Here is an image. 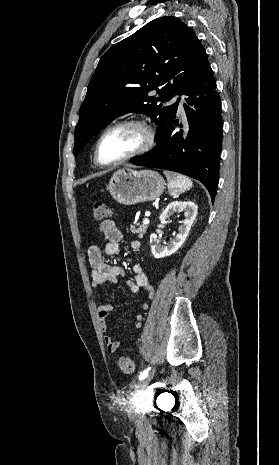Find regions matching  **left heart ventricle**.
Wrapping results in <instances>:
<instances>
[{
  "label": "left heart ventricle",
  "mask_w": 279,
  "mask_h": 465,
  "mask_svg": "<svg viewBox=\"0 0 279 465\" xmlns=\"http://www.w3.org/2000/svg\"><path fill=\"white\" fill-rule=\"evenodd\" d=\"M144 141L139 127L127 126L109 132L100 146V158L104 162L118 160L138 149Z\"/></svg>",
  "instance_id": "obj_1"
}]
</instances>
